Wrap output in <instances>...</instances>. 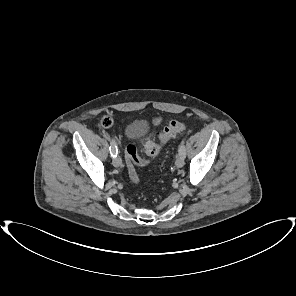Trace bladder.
<instances>
[{
    "label": "bladder",
    "instance_id": "1",
    "mask_svg": "<svg viewBox=\"0 0 296 296\" xmlns=\"http://www.w3.org/2000/svg\"><path fill=\"white\" fill-rule=\"evenodd\" d=\"M148 130L146 121L136 119L126 125L125 135L130 140H136L143 137Z\"/></svg>",
    "mask_w": 296,
    "mask_h": 296
}]
</instances>
